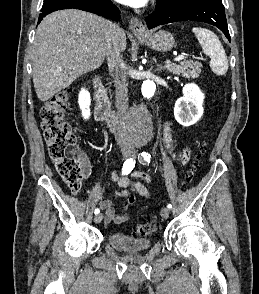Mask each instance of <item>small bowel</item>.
<instances>
[{
  "label": "small bowel",
  "mask_w": 259,
  "mask_h": 294,
  "mask_svg": "<svg viewBox=\"0 0 259 294\" xmlns=\"http://www.w3.org/2000/svg\"><path fill=\"white\" fill-rule=\"evenodd\" d=\"M163 142L166 149L173 155V157L180 163H186L189 159L190 152L188 149H184L180 153H176L173 145V138L171 129L168 123L163 128ZM82 161V173L84 178H88L91 174V163L87 156L81 155ZM133 177L138 178L132 180L128 176L118 178L115 173H112L111 178L117 181L122 191L119 196L124 198L121 210L116 211L115 203L110 199H101L99 202L100 208L104 210V222L107 224H122L126 222L130 215L128 212L129 206L135 201L136 195L143 198H147L150 195V191L146 185V181L149 179V175L141 172L134 171Z\"/></svg>",
  "instance_id": "1"
}]
</instances>
